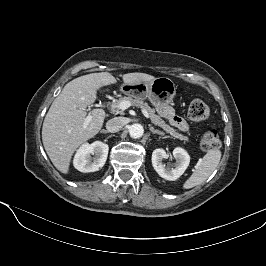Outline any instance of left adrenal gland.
Wrapping results in <instances>:
<instances>
[{
  "mask_svg": "<svg viewBox=\"0 0 266 266\" xmlns=\"http://www.w3.org/2000/svg\"><path fill=\"white\" fill-rule=\"evenodd\" d=\"M149 128H150V131H151L153 134L164 135V133H163L162 131L156 130V129H154L152 126H149Z\"/></svg>",
  "mask_w": 266,
  "mask_h": 266,
  "instance_id": "a2214340",
  "label": "left adrenal gland"
}]
</instances>
